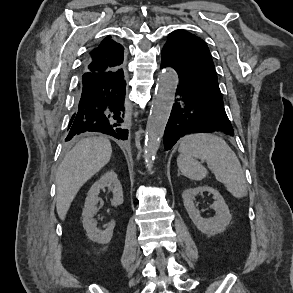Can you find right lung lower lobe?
<instances>
[{"label": "right lung lower lobe", "instance_id": "right-lung-lower-lobe-1", "mask_svg": "<svg viewBox=\"0 0 293 293\" xmlns=\"http://www.w3.org/2000/svg\"><path fill=\"white\" fill-rule=\"evenodd\" d=\"M125 87L123 69L84 74L65 141L84 132H100L126 140Z\"/></svg>", "mask_w": 293, "mask_h": 293}]
</instances>
